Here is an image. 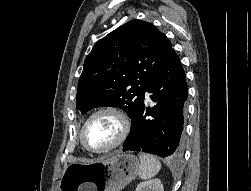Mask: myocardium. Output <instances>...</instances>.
<instances>
[{
  "label": "myocardium",
  "instance_id": "f54148a6",
  "mask_svg": "<svg viewBox=\"0 0 251 191\" xmlns=\"http://www.w3.org/2000/svg\"><path fill=\"white\" fill-rule=\"evenodd\" d=\"M101 113H110L112 114L119 122V126H120V132L119 135L117 137V139L105 150L99 151V152H94V151H90L89 149H87L82 141V133L83 130L86 126V124L89 122V120L91 118H93L94 116L101 114ZM130 129V123L127 119V117L121 113L118 109L112 107V106H103V107H99L97 109H95L94 111H92L83 121L80 130L78 132V137H77V144L79 146V148L90 155H94V156H101L104 154L109 153L110 151L114 150L115 148H117L118 146H120L124 140L126 139L128 132Z\"/></svg>",
  "mask_w": 251,
  "mask_h": 191
}]
</instances>
